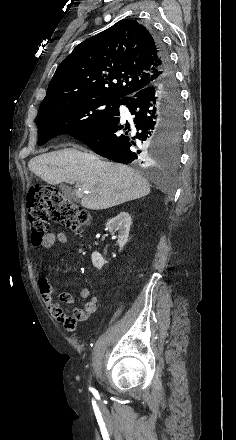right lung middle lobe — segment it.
Listing matches in <instances>:
<instances>
[{
	"label": "right lung middle lobe",
	"instance_id": "obj_1",
	"mask_svg": "<svg viewBox=\"0 0 236 440\" xmlns=\"http://www.w3.org/2000/svg\"><path fill=\"white\" fill-rule=\"evenodd\" d=\"M178 98L177 92L173 94ZM120 102L94 96H75L41 103L37 116L38 144L59 134L74 135L112 116ZM181 140V125L165 129L160 141L161 158L175 162Z\"/></svg>",
	"mask_w": 236,
	"mask_h": 440
}]
</instances>
